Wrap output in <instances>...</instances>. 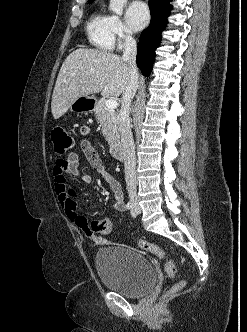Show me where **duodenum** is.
Returning <instances> with one entry per match:
<instances>
[{
	"label": "duodenum",
	"instance_id": "duodenum-1",
	"mask_svg": "<svg viewBox=\"0 0 247 332\" xmlns=\"http://www.w3.org/2000/svg\"><path fill=\"white\" fill-rule=\"evenodd\" d=\"M111 153L113 157H115L118 160H122L124 158V150L120 144L114 145L111 149Z\"/></svg>",
	"mask_w": 247,
	"mask_h": 332
}]
</instances>
